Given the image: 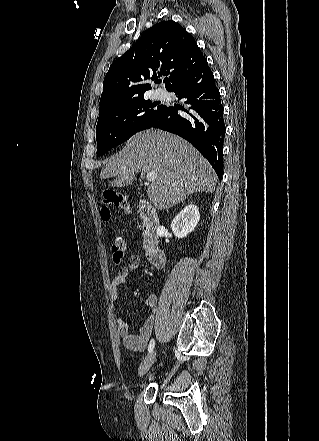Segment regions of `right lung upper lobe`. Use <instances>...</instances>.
<instances>
[{"label": "right lung upper lobe", "instance_id": "right-lung-upper-lobe-1", "mask_svg": "<svg viewBox=\"0 0 319 441\" xmlns=\"http://www.w3.org/2000/svg\"><path fill=\"white\" fill-rule=\"evenodd\" d=\"M205 57L195 39L178 23L162 21L149 28L107 72L100 111L144 98L151 89L148 80L165 76L169 90L183 76L196 69Z\"/></svg>", "mask_w": 319, "mask_h": 441}]
</instances>
